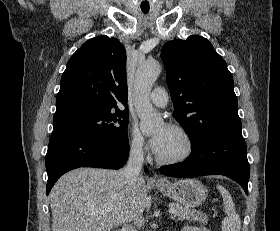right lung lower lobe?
<instances>
[{
  "label": "right lung lower lobe",
  "mask_w": 280,
  "mask_h": 231,
  "mask_svg": "<svg viewBox=\"0 0 280 231\" xmlns=\"http://www.w3.org/2000/svg\"><path fill=\"white\" fill-rule=\"evenodd\" d=\"M128 153V138L113 140L78 132L52 133L46 154L47 195L64 173L79 167L119 169Z\"/></svg>",
  "instance_id": "1"
}]
</instances>
